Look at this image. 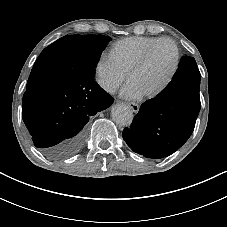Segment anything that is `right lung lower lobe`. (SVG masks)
I'll return each instance as SVG.
<instances>
[{
  "label": "right lung lower lobe",
  "mask_w": 227,
  "mask_h": 227,
  "mask_svg": "<svg viewBox=\"0 0 227 227\" xmlns=\"http://www.w3.org/2000/svg\"><path fill=\"white\" fill-rule=\"evenodd\" d=\"M113 101L94 80L68 81L52 74L24 93L23 121L42 154L60 160L81 149L89 119Z\"/></svg>",
  "instance_id": "98d812e1"
}]
</instances>
